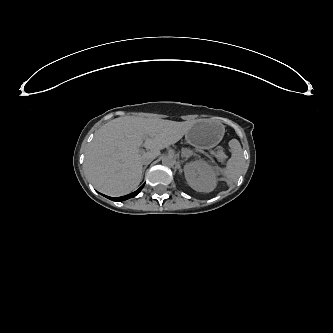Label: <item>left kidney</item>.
I'll return each mask as SVG.
<instances>
[{
    "instance_id": "5707ae66",
    "label": "left kidney",
    "mask_w": 333,
    "mask_h": 333,
    "mask_svg": "<svg viewBox=\"0 0 333 333\" xmlns=\"http://www.w3.org/2000/svg\"><path fill=\"white\" fill-rule=\"evenodd\" d=\"M219 167L203 159L191 161L184 166L188 185L198 192H211L218 183Z\"/></svg>"
}]
</instances>
